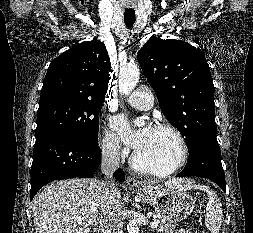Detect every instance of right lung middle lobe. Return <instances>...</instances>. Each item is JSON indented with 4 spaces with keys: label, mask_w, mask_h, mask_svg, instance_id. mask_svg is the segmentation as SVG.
<instances>
[{
    "label": "right lung middle lobe",
    "mask_w": 253,
    "mask_h": 233,
    "mask_svg": "<svg viewBox=\"0 0 253 233\" xmlns=\"http://www.w3.org/2000/svg\"><path fill=\"white\" fill-rule=\"evenodd\" d=\"M103 102L51 99L39 104L36 138L63 135L86 144H98L99 118Z\"/></svg>",
    "instance_id": "obj_1"
}]
</instances>
